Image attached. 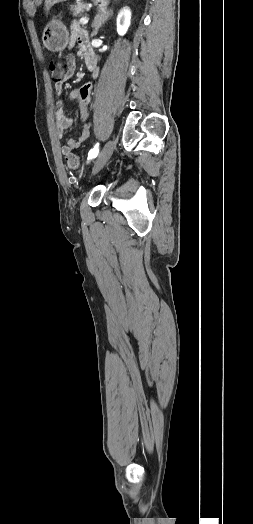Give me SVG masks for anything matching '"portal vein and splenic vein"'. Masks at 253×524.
Masks as SVG:
<instances>
[{"label":"portal vein and splenic vein","instance_id":"portal-vein-and-splenic-vein-1","mask_svg":"<svg viewBox=\"0 0 253 524\" xmlns=\"http://www.w3.org/2000/svg\"><path fill=\"white\" fill-rule=\"evenodd\" d=\"M79 22H80V24H82V25H86V24L88 23V18H86V17H82V18H80Z\"/></svg>","mask_w":253,"mask_h":524}]
</instances>
